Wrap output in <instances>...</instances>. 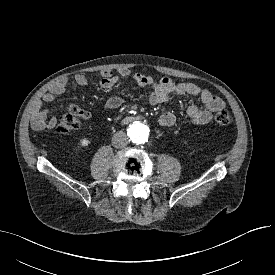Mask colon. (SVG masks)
Here are the masks:
<instances>
[{"label":"colon","mask_w":275,"mask_h":275,"mask_svg":"<svg viewBox=\"0 0 275 275\" xmlns=\"http://www.w3.org/2000/svg\"><path fill=\"white\" fill-rule=\"evenodd\" d=\"M215 121L219 125H228L232 121V117L227 110H220L215 115ZM80 126L79 116L74 113L64 114L60 117L57 131L60 134L68 135L75 130H77Z\"/></svg>","instance_id":"colon-1"}]
</instances>
